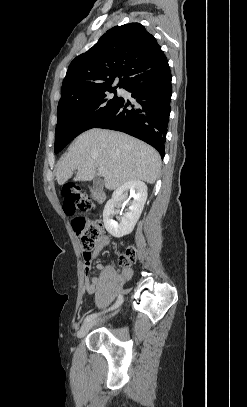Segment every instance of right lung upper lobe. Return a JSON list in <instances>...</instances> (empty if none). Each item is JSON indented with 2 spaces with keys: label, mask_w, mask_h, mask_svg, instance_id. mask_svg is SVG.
Returning <instances> with one entry per match:
<instances>
[{
  "label": "right lung upper lobe",
  "mask_w": 247,
  "mask_h": 407,
  "mask_svg": "<svg viewBox=\"0 0 247 407\" xmlns=\"http://www.w3.org/2000/svg\"><path fill=\"white\" fill-rule=\"evenodd\" d=\"M166 60L156 39L139 23L115 26L86 53L70 64L63 80L58 106L82 99L111 87H124L136 74Z\"/></svg>",
  "instance_id": "cb5924a9"
}]
</instances>
